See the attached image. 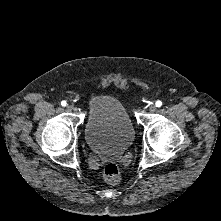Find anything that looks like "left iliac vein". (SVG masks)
<instances>
[{
  "mask_svg": "<svg viewBox=\"0 0 221 221\" xmlns=\"http://www.w3.org/2000/svg\"><path fill=\"white\" fill-rule=\"evenodd\" d=\"M156 109H157V106H156L155 104H151V105L149 106V111H150V112H155Z\"/></svg>",
  "mask_w": 221,
  "mask_h": 221,
  "instance_id": "1",
  "label": "left iliac vein"
}]
</instances>
